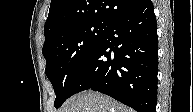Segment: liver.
Wrapping results in <instances>:
<instances>
[{"instance_id":"obj_1","label":"liver","mask_w":193,"mask_h":112,"mask_svg":"<svg viewBox=\"0 0 193 112\" xmlns=\"http://www.w3.org/2000/svg\"><path fill=\"white\" fill-rule=\"evenodd\" d=\"M60 112H133V110L110 97L89 90L68 99Z\"/></svg>"}]
</instances>
